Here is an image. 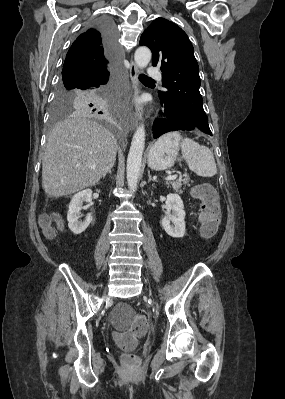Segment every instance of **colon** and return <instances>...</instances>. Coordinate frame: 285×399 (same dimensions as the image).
Wrapping results in <instances>:
<instances>
[{
  "label": "colon",
  "instance_id": "1",
  "mask_svg": "<svg viewBox=\"0 0 285 399\" xmlns=\"http://www.w3.org/2000/svg\"><path fill=\"white\" fill-rule=\"evenodd\" d=\"M191 194L199 200L201 213L205 216L201 234L205 238L211 237L216 233L220 223V210L216 202L215 193L209 186L198 185L193 188ZM39 226L46 236L54 234L55 226L52 217H42L39 221ZM146 330L147 320L144 317L136 316L127 330L115 333L116 340L124 347L122 360L127 367H131L138 362L133 350L137 345L138 339L144 335Z\"/></svg>",
  "mask_w": 285,
  "mask_h": 399
}]
</instances>
